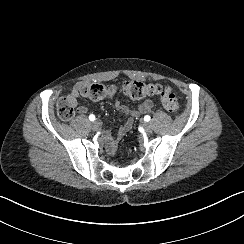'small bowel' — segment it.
<instances>
[{
    "instance_id": "1",
    "label": "small bowel",
    "mask_w": 244,
    "mask_h": 244,
    "mask_svg": "<svg viewBox=\"0 0 244 244\" xmlns=\"http://www.w3.org/2000/svg\"><path fill=\"white\" fill-rule=\"evenodd\" d=\"M79 87H80V85L77 84L72 88V90L77 91L79 94L80 93ZM67 98L74 106L76 105L77 100H75V101L70 100L68 95H67ZM152 107H153V102L149 99L144 100L142 103H140L136 109H131L128 105H126L125 103H123L119 100L115 101V108L118 111V113L121 114L122 116L134 117L138 114H145V113L151 111ZM77 111L80 115H85L88 112V109L84 105H79V106H77ZM132 125H133L132 119H129L128 121H126L125 124L123 126H121L120 129L118 130V133H117L118 137H123L132 128ZM109 141L111 144L112 139H110Z\"/></svg>"
}]
</instances>
